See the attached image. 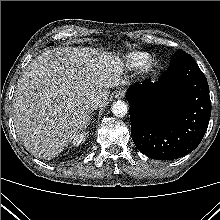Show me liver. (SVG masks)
<instances>
[{"instance_id": "6515ba94", "label": "liver", "mask_w": 220, "mask_h": 220, "mask_svg": "<svg viewBox=\"0 0 220 220\" xmlns=\"http://www.w3.org/2000/svg\"><path fill=\"white\" fill-rule=\"evenodd\" d=\"M119 54L89 47L47 50L26 67L18 80L13 120L24 147L50 160L86 128L93 111L87 104L99 96L107 104L109 88L125 85Z\"/></svg>"}]
</instances>
